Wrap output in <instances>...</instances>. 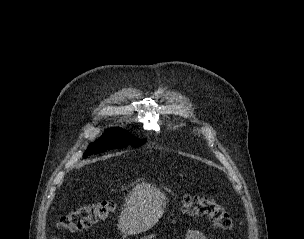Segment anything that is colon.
<instances>
[{
	"label": "colon",
	"instance_id": "colon-1",
	"mask_svg": "<svg viewBox=\"0 0 304 239\" xmlns=\"http://www.w3.org/2000/svg\"><path fill=\"white\" fill-rule=\"evenodd\" d=\"M182 208L187 214L208 218L217 229L229 231L233 228L229 212L211 197L185 195ZM115 209L116 203L113 200L81 204L61 217L58 226L69 232L80 231L105 220Z\"/></svg>",
	"mask_w": 304,
	"mask_h": 239
}]
</instances>
